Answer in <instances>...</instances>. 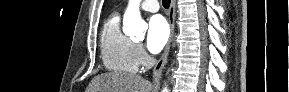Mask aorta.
<instances>
[{
  "label": "aorta",
  "mask_w": 289,
  "mask_h": 92,
  "mask_svg": "<svg viewBox=\"0 0 289 92\" xmlns=\"http://www.w3.org/2000/svg\"><path fill=\"white\" fill-rule=\"evenodd\" d=\"M139 5L140 0L129 1L128 8L123 18V31L127 35H134L138 38H142L147 29V24L141 18ZM163 92H168L167 87L163 89Z\"/></svg>",
  "instance_id": "762f6f07"
}]
</instances>
